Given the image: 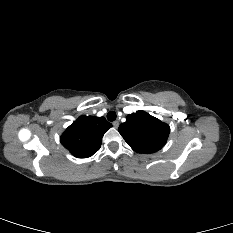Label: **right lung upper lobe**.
Returning <instances> with one entry per match:
<instances>
[{
	"instance_id": "right-lung-upper-lobe-1",
	"label": "right lung upper lobe",
	"mask_w": 233,
	"mask_h": 233,
	"mask_svg": "<svg viewBox=\"0 0 233 233\" xmlns=\"http://www.w3.org/2000/svg\"><path fill=\"white\" fill-rule=\"evenodd\" d=\"M112 127L104 117L80 116L62 134L61 144L77 158H87L100 149L104 133Z\"/></svg>"
}]
</instances>
